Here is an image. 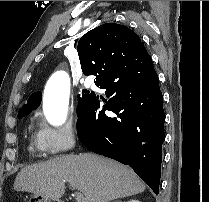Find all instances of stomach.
<instances>
[{
    "mask_svg": "<svg viewBox=\"0 0 209 202\" xmlns=\"http://www.w3.org/2000/svg\"><path fill=\"white\" fill-rule=\"evenodd\" d=\"M29 202H61V201L59 199L49 198L44 195L33 194L30 197Z\"/></svg>",
    "mask_w": 209,
    "mask_h": 202,
    "instance_id": "0dacf381",
    "label": "stomach"
}]
</instances>
